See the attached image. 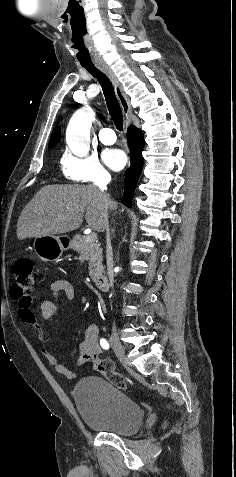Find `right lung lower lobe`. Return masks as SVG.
<instances>
[{"label": "right lung lower lobe", "mask_w": 236, "mask_h": 477, "mask_svg": "<svg viewBox=\"0 0 236 477\" xmlns=\"http://www.w3.org/2000/svg\"><path fill=\"white\" fill-rule=\"evenodd\" d=\"M127 141L130 149L131 166L125 171L124 195L122 197V203L128 207H131L137 181L143 169V159L141 152L144 148V138L142 132L135 126H130L127 130Z\"/></svg>", "instance_id": "1"}]
</instances>
